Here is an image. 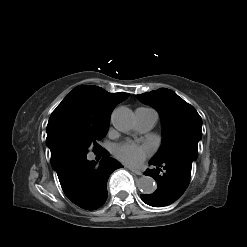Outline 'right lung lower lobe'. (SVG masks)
I'll list each match as a JSON object with an SVG mask.
<instances>
[{
    "instance_id": "98d812e1",
    "label": "right lung lower lobe",
    "mask_w": 247,
    "mask_h": 247,
    "mask_svg": "<svg viewBox=\"0 0 247 247\" xmlns=\"http://www.w3.org/2000/svg\"><path fill=\"white\" fill-rule=\"evenodd\" d=\"M103 158L97 164L86 154L55 150L51 152V165L57 172L65 195L83 209L94 210L107 199L106 184L109 175L123 166L102 150Z\"/></svg>"
}]
</instances>
